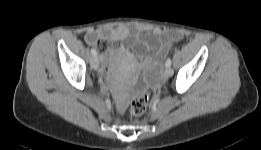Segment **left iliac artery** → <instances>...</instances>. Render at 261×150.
<instances>
[{"mask_svg":"<svg viewBox=\"0 0 261 150\" xmlns=\"http://www.w3.org/2000/svg\"><path fill=\"white\" fill-rule=\"evenodd\" d=\"M171 63H172L171 59L168 58V59L166 60V63H165L166 67H170V66H171Z\"/></svg>","mask_w":261,"mask_h":150,"instance_id":"left-iliac-artery-1","label":"left iliac artery"}]
</instances>
